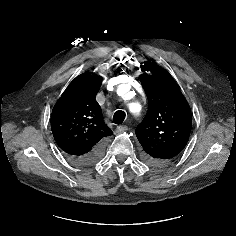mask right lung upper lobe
Returning <instances> with one entry per match:
<instances>
[{"mask_svg":"<svg viewBox=\"0 0 236 236\" xmlns=\"http://www.w3.org/2000/svg\"><path fill=\"white\" fill-rule=\"evenodd\" d=\"M101 83L100 77L77 76L52 110V133L67 155L86 154L113 133L104 123L101 107L95 99Z\"/></svg>","mask_w":236,"mask_h":236,"instance_id":"cb5924a9","label":"right lung upper lobe"}]
</instances>
